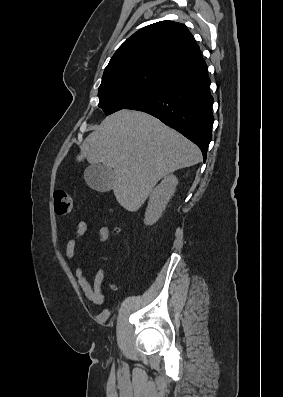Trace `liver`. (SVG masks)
Masks as SVG:
<instances>
[{
	"label": "liver",
	"instance_id": "1",
	"mask_svg": "<svg viewBox=\"0 0 283 397\" xmlns=\"http://www.w3.org/2000/svg\"><path fill=\"white\" fill-rule=\"evenodd\" d=\"M76 159L114 169L116 200L135 212L161 178L198 164L202 154L194 143L159 119L122 109L107 116L88 135Z\"/></svg>",
	"mask_w": 283,
	"mask_h": 397
}]
</instances>
